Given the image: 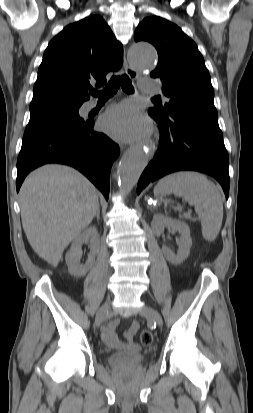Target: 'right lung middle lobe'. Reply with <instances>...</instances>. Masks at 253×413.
<instances>
[{
  "label": "right lung middle lobe",
  "instance_id": "dd1d6c3e",
  "mask_svg": "<svg viewBox=\"0 0 253 413\" xmlns=\"http://www.w3.org/2000/svg\"><path fill=\"white\" fill-rule=\"evenodd\" d=\"M85 123L79 116V107L31 113L22 142L49 134L71 131L84 126Z\"/></svg>",
  "mask_w": 253,
  "mask_h": 413
}]
</instances>
